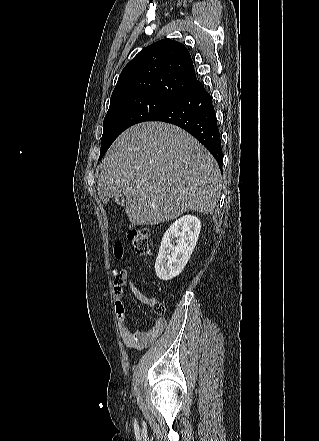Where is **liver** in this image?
<instances>
[{"mask_svg": "<svg viewBox=\"0 0 319 441\" xmlns=\"http://www.w3.org/2000/svg\"><path fill=\"white\" fill-rule=\"evenodd\" d=\"M97 190L104 204L119 194L126 198L130 223L153 225L188 211L213 214L221 172L211 153L180 127L143 122L112 144Z\"/></svg>", "mask_w": 319, "mask_h": 441, "instance_id": "obj_1", "label": "liver"}]
</instances>
